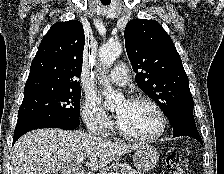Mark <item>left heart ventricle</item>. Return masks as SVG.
<instances>
[{"mask_svg": "<svg viewBox=\"0 0 224 174\" xmlns=\"http://www.w3.org/2000/svg\"><path fill=\"white\" fill-rule=\"evenodd\" d=\"M115 115L121 128L133 135H150L160 125L156 111L146 103L122 102L115 109Z\"/></svg>", "mask_w": 224, "mask_h": 174, "instance_id": "1", "label": "left heart ventricle"}]
</instances>
